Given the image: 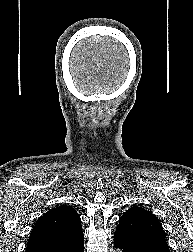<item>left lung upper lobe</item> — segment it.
<instances>
[{
	"mask_svg": "<svg viewBox=\"0 0 193 252\" xmlns=\"http://www.w3.org/2000/svg\"><path fill=\"white\" fill-rule=\"evenodd\" d=\"M116 231L130 237L157 236L166 239L160 221L144 208L134 206L120 218Z\"/></svg>",
	"mask_w": 193,
	"mask_h": 252,
	"instance_id": "1",
	"label": "left lung upper lobe"
}]
</instances>
